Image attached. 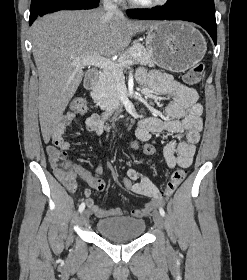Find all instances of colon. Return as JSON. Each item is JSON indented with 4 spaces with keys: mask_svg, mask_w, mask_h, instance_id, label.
<instances>
[{
    "mask_svg": "<svg viewBox=\"0 0 247 280\" xmlns=\"http://www.w3.org/2000/svg\"><path fill=\"white\" fill-rule=\"evenodd\" d=\"M204 71V65L198 63L191 67L184 75V81L187 84L195 85L201 81ZM71 111L77 115H83L87 111V104L84 98H75L70 104ZM132 147L140 150L143 156H155L157 150L153 143H147L145 139L131 138ZM47 153L49 161L54 173L60 179H71L74 173V165L68 160L66 153L56 146H48ZM186 177L184 169L175 170L170 177V180L165 188V194L171 196L177 188L181 185ZM119 183L124 188H131L133 181L129 176H121Z\"/></svg>",
    "mask_w": 247,
    "mask_h": 280,
    "instance_id": "1",
    "label": "colon"
}]
</instances>
